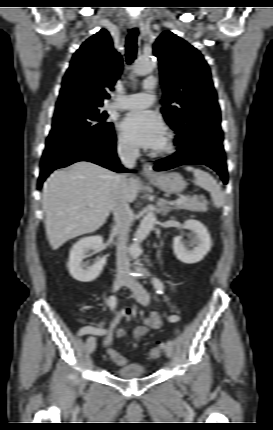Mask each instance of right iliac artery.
Returning <instances> with one entry per match:
<instances>
[{
    "mask_svg": "<svg viewBox=\"0 0 273 430\" xmlns=\"http://www.w3.org/2000/svg\"><path fill=\"white\" fill-rule=\"evenodd\" d=\"M107 305L111 310H114L116 307V297L110 296L107 299ZM106 330H81V335H102L105 334Z\"/></svg>",
    "mask_w": 273,
    "mask_h": 430,
    "instance_id": "obj_1",
    "label": "right iliac artery"
}]
</instances>
